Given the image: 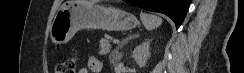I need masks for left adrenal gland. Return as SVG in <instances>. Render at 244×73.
<instances>
[{
  "label": "left adrenal gland",
  "mask_w": 244,
  "mask_h": 73,
  "mask_svg": "<svg viewBox=\"0 0 244 73\" xmlns=\"http://www.w3.org/2000/svg\"><path fill=\"white\" fill-rule=\"evenodd\" d=\"M137 37H139V34H132L129 35V37H127L126 39H124L117 47L118 49H121L124 45H126L128 43V41H130L131 39H136Z\"/></svg>",
  "instance_id": "left-adrenal-gland-1"
}]
</instances>
